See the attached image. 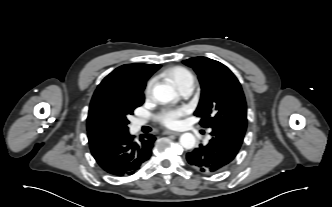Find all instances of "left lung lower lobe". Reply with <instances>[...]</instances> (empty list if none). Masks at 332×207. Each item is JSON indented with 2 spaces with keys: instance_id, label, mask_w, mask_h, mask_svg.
<instances>
[{
  "instance_id": "1",
  "label": "left lung lower lobe",
  "mask_w": 332,
  "mask_h": 207,
  "mask_svg": "<svg viewBox=\"0 0 332 207\" xmlns=\"http://www.w3.org/2000/svg\"><path fill=\"white\" fill-rule=\"evenodd\" d=\"M211 140L188 153V163L198 172L215 174L224 170L236 157L245 132L233 129L212 128Z\"/></svg>"
}]
</instances>
